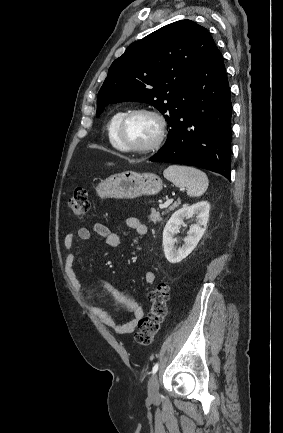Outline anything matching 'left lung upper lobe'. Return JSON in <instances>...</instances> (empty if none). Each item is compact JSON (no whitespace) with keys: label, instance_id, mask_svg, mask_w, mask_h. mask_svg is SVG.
<instances>
[{"label":"left lung upper lobe","instance_id":"1","mask_svg":"<svg viewBox=\"0 0 283 433\" xmlns=\"http://www.w3.org/2000/svg\"><path fill=\"white\" fill-rule=\"evenodd\" d=\"M215 46L191 20L166 25L132 43L116 59L98 93L96 116L110 103H149L173 123L189 107L190 85Z\"/></svg>","mask_w":283,"mask_h":433}]
</instances>
